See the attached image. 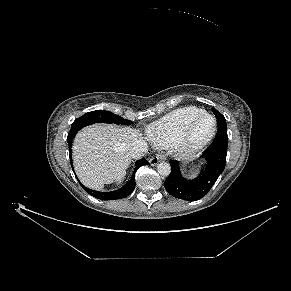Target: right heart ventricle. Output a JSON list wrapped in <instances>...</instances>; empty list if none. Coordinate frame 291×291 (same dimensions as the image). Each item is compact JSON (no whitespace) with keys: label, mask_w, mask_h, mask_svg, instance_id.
Instances as JSON below:
<instances>
[{"label":"right heart ventricle","mask_w":291,"mask_h":291,"mask_svg":"<svg viewBox=\"0 0 291 291\" xmlns=\"http://www.w3.org/2000/svg\"><path fill=\"white\" fill-rule=\"evenodd\" d=\"M205 111L194 106L176 109L151 124L146 131L149 140L156 146L174 144L188 125Z\"/></svg>","instance_id":"1"}]
</instances>
